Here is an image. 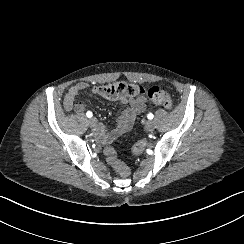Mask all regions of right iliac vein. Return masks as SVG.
Here are the masks:
<instances>
[{
    "mask_svg": "<svg viewBox=\"0 0 244 244\" xmlns=\"http://www.w3.org/2000/svg\"><path fill=\"white\" fill-rule=\"evenodd\" d=\"M89 124H90V126H95L97 124V119L94 117H91L89 119Z\"/></svg>",
    "mask_w": 244,
    "mask_h": 244,
    "instance_id": "63e3f726",
    "label": "right iliac vein"
}]
</instances>
